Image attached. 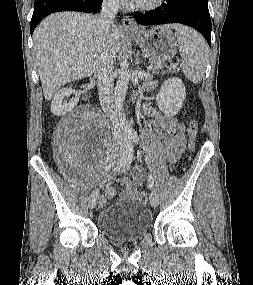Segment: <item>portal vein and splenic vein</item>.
Instances as JSON below:
<instances>
[{"label": "portal vein and splenic vein", "instance_id": "18ae733b", "mask_svg": "<svg viewBox=\"0 0 253 285\" xmlns=\"http://www.w3.org/2000/svg\"><path fill=\"white\" fill-rule=\"evenodd\" d=\"M154 69H157V67L152 65V64L147 67V71H151V70H154Z\"/></svg>", "mask_w": 253, "mask_h": 285}]
</instances>
